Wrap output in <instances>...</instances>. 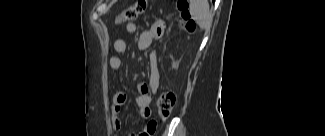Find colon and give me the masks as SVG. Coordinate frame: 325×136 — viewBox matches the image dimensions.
I'll return each instance as SVG.
<instances>
[{
  "label": "colon",
  "instance_id": "5ec220e1",
  "mask_svg": "<svg viewBox=\"0 0 325 136\" xmlns=\"http://www.w3.org/2000/svg\"><path fill=\"white\" fill-rule=\"evenodd\" d=\"M145 8V0H136L134 4L122 12L119 22L129 23L136 20L144 12ZM177 8L180 12L182 25L184 28L188 31H193L195 24L190 18L187 0H178ZM175 101L176 97L171 91H164L161 93L157 101L158 115L161 119L165 120L170 117L175 106Z\"/></svg>",
  "mask_w": 325,
  "mask_h": 136
}]
</instances>
